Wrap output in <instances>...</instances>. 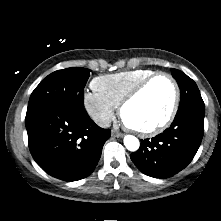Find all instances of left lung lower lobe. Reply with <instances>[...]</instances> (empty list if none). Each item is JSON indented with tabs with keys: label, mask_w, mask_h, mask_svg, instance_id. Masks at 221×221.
I'll list each match as a JSON object with an SVG mask.
<instances>
[{
	"label": "left lung lower lobe",
	"mask_w": 221,
	"mask_h": 221,
	"mask_svg": "<svg viewBox=\"0 0 221 221\" xmlns=\"http://www.w3.org/2000/svg\"><path fill=\"white\" fill-rule=\"evenodd\" d=\"M205 105L178 109L171 126L152 139L141 141L140 148L130 155L145 175L168 178L192 161L204 133Z\"/></svg>",
	"instance_id": "0a47b994"
}]
</instances>
